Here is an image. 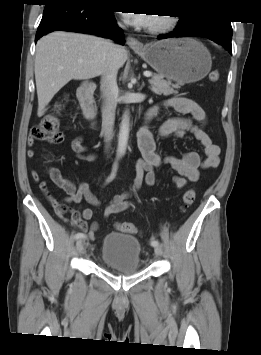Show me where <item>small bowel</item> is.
<instances>
[{"instance_id":"obj_1","label":"small bowel","mask_w":261,"mask_h":355,"mask_svg":"<svg viewBox=\"0 0 261 355\" xmlns=\"http://www.w3.org/2000/svg\"><path fill=\"white\" fill-rule=\"evenodd\" d=\"M161 106L173 108L179 115L164 122L156 135L145 127L140 129L138 146L142 158L136 163V177L133 186L129 190L115 195L106 204L104 208L106 218L128 209L131 206L128 198L141 187L143 182L149 186L154 185L156 168L163 165L171 166L177 173L172 182L177 188L182 189L188 181L199 179L201 169H213L219 165L221 149L204 130V124L206 123L204 109L197 102L186 97L171 98ZM159 109L160 106L158 105L149 108L146 112V119H152ZM187 135H192L201 143L205 154L204 159H201L199 154L194 151L187 152L181 157L161 156L157 152V140H163L169 136L183 138ZM29 144H32V139H29ZM71 146L80 158L87 161L95 159L94 154H85L86 147L83 145L82 136L73 139ZM34 155V150L29 149L27 156L32 158ZM31 176L34 181L39 183L40 188L50 196L46 182L40 181L39 173L32 170ZM48 176L57 187L65 191L67 196L64 198V203L80 204L84 199L92 206L100 205V201L90 192L88 184L81 183L76 186L73 182L64 178L56 167L48 169ZM67 212L70 213V218L65 216ZM56 213L64 222L70 223L80 231L87 233L90 239L94 238L98 224L96 222L89 224L88 221L93 217V211L90 208H81L80 211H75L69 210L64 204H56Z\"/></svg>"}]
</instances>
